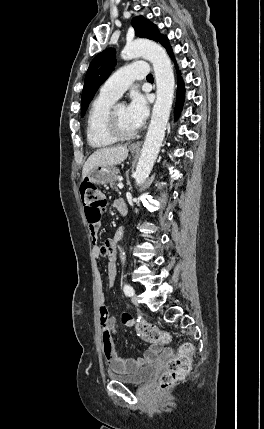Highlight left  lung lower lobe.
I'll return each instance as SVG.
<instances>
[{
  "label": "left lung lower lobe",
  "instance_id": "0a47b994",
  "mask_svg": "<svg viewBox=\"0 0 264 429\" xmlns=\"http://www.w3.org/2000/svg\"><path fill=\"white\" fill-rule=\"evenodd\" d=\"M160 44L164 46L168 52V54L173 58L172 49L168 43V39L166 36L163 35V37L160 39ZM184 100V85L181 79V76L178 74V88H177V101L175 106V118H178L182 105Z\"/></svg>",
  "mask_w": 264,
  "mask_h": 429
}]
</instances>
